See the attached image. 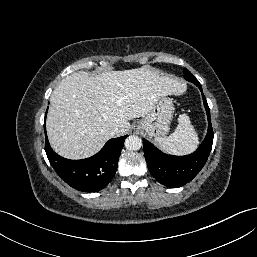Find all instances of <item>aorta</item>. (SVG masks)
Returning <instances> with one entry per match:
<instances>
[{
    "mask_svg": "<svg viewBox=\"0 0 257 257\" xmlns=\"http://www.w3.org/2000/svg\"><path fill=\"white\" fill-rule=\"evenodd\" d=\"M125 147L129 151H136L142 147V139L138 136L131 135L125 140Z\"/></svg>",
    "mask_w": 257,
    "mask_h": 257,
    "instance_id": "1",
    "label": "aorta"
}]
</instances>
